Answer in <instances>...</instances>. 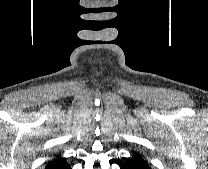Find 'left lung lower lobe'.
I'll return each instance as SVG.
<instances>
[{
  "label": "left lung lower lobe",
  "mask_w": 208,
  "mask_h": 169,
  "mask_svg": "<svg viewBox=\"0 0 208 169\" xmlns=\"http://www.w3.org/2000/svg\"><path fill=\"white\" fill-rule=\"evenodd\" d=\"M121 169H150V166L140 154L132 152V156L121 165Z\"/></svg>",
  "instance_id": "0a47b994"
}]
</instances>
